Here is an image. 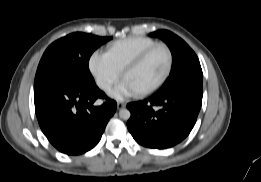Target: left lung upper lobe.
<instances>
[{
	"mask_svg": "<svg viewBox=\"0 0 261 182\" xmlns=\"http://www.w3.org/2000/svg\"><path fill=\"white\" fill-rule=\"evenodd\" d=\"M149 35L165 41L173 57L170 75L156 94L164 95L191 84L203 83L199 59L180 37L167 30H158Z\"/></svg>",
	"mask_w": 261,
	"mask_h": 182,
	"instance_id": "1",
	"label": "left lung upper lobe"
}]
</instances>
